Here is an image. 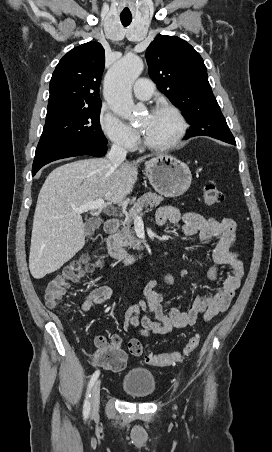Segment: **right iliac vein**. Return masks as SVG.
<instances>
[{
	"instance_id": "obj_1",
	"label": "right iliac vein",
	"mask_w": 272,
	"mask_h": 452,
	"mask_svg": "<svg viewBox=\"0 0 272 452\" xmlns=\"http://www.w3.org/2000/svg\"><path fill=\"white\" fill-rule=\"evenodd\" d=\"M100 388H101V381L97 380L93 386L92 395H91V413L92 414H96L99 409Z\"/></svg>"
}]
</instances>
